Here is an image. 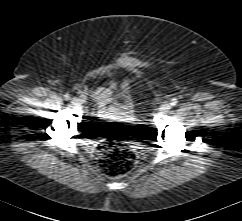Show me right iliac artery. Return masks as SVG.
I'll use <instances>...</instances> for the list:
<instances>
[{
  "label": "right iliac artery",
  "mask_w": 242,
  "mask_h": 221,
  "mask_svg": "<svg viewBox=\"0 0 242 221\" xmlns=\"http://www.w3.org/2000/svg\"><path fill=\"white\" fill-rule=\"evenodd\" d=\"M63 97H64L65 100H70V95L69 94H65Z\"/></svg>",
  "instance_id": "right-iliac-artery-1"
}]
</instances>
